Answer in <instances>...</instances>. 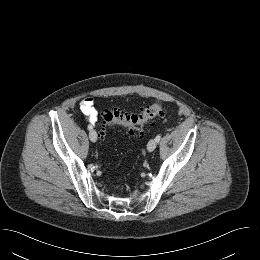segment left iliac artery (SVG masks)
Listing matches in <instances>:
<instances>
[{"label": "left iliac artery", "mask_w": 260, "mask_h": 260, "mask_svg": "<svg viewBox=\"0 0 260 260\" xmlns=\"http://www.w3.org/2000/svg\"><path fill=\"white\" fill-rule=\"evenodd\" d=\"M161 136H162L161 134L157 135L156 138H155V140H156L157 142H159L160 139H161Z\"/></svg>", "instance_id": "obj_1"}]
</instances>
